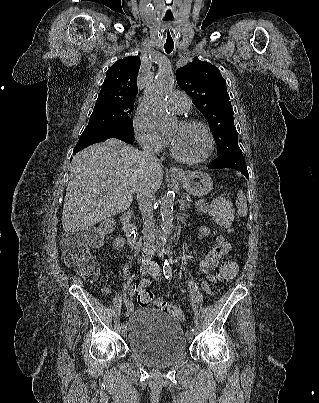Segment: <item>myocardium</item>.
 <instances>
[{
	"mask_svg": "<svg viewBox=\"0 0 319 403\" xmlns=\"http://www.w3.org/2000/svg\"><path fill=\"white\" fill-rule=\"evenodd\" d=\"M179 123L182 125H185V126L196 125V126L201 127L207 135L208 148H207L206 153L202 157H200L198 159H188V158H185V157L179 155L177 153V151L174 149L171 141H169L170 153H171L172 157L181 163L190 164V165L201 164V163H204L205 161H207L213 154L214 147H215V140H214V136H213V133H212L210 127L206 123H204L198 119H194V118H181L179 120Z\"/></svg>",
	"mask_w": 319,
	"mask_h": 403,
	"instance_id": "f54148a6",
	"label": "myocardium"
}]
</instances>
